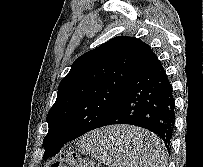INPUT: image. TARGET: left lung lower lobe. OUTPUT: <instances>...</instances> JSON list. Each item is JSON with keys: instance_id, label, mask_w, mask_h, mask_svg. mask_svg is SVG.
<instances>
[{"instance_id": "obj_1", "label": "left lung lower lobe", "mask_w": 203, "mask_h": 167, "mask_svg": "<svg viewBox=\"0 0 203 167\" xmlns=\"http://www.w3.org/2000/svg\"><path fill=\"white\" fill-rule=\"evenodd\" d=\"M114 124L148 129L157 134L169 150L175 124L173 89L164 67L154 53L134 75L116 109L100 127ZM118 142L110 139L109 146L117 145ZM64 144L58 142L52 145L47 156L56 155Z\"/></svg>"}]
</instances>
